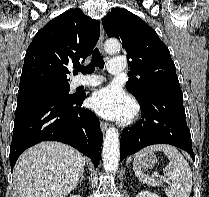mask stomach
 <instances>
[{
    "instance_id": "stomach-1",
    "label": "stomach",
    "mask_w": 209,
    "mask_h": 197,
    "mask_svg": "<svg viewBox=\"0 0 209 197\" xmlns=\"http://www.w3.org/2000/svg\"><path fill=\"white\" fill-rule=\"evenodd\" d=\"M156 163V157L153 153L147 154L144 158L141 160V167L144 168H152Z\"/></svg>"
}]
</instances>
